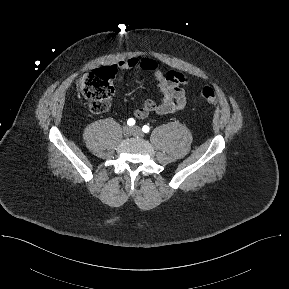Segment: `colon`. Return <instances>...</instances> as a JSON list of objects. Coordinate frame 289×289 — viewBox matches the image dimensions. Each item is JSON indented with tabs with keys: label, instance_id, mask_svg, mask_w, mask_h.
I'll return each instance as SVG.
<instances>
[{
	"label": "colon",
	"instance_id": "obj_1",
	"mask_svg": "<svg viewBox=\"0 0 289 289\" xmlns=\"http://www.w3.org/2000/svg\"><path fill=\"white\" fill-rule=\"evenodd\" d=\"M114 73L113 67L98 68L84 74L79 79L77 91L88 101L91 111L103 113L109 109V99L114 92L112 84ZM199 91L201 97L208 103H216L217 96L212 87L201 86Z\"/></svg>",
	"mask_w": 289,
	"mask_h": 289
}]
</instances>
